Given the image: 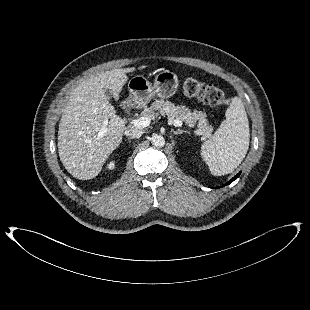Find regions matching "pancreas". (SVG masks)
Masks as SVG:
<instances>
[{
  "mask_svg": "<svg viewBox=\"0 0 310 310\" xmlns=\"http://www.w3.org/2000/svg\"><path fill=\"white\" fill-rule=\"evenodd\" d=\"M167 114L170 121L180 120L186 125L193 127L197 124V131L203 139L211 137L213 131L206 119V113L198 110L190 111L188 107L174 105L169 101L155 100L150 107L145 106L141 112L142 117H149L150 119L157 118L159 115Z\"/></svg>",
  "mask_w": 310,
  "mask_h": 310,
  "instance_id": "obj_1",
  "label": "pancreas"
}]
</instances>
